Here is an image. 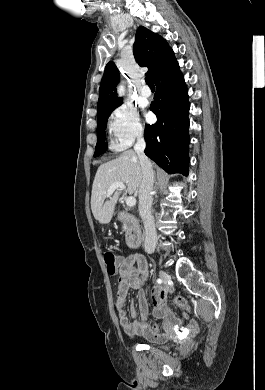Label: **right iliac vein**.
Here are the masks:
<instances>
[{
  "instance_id": "1",
  "label": "right iliac vein",
  "mask_w": 265,
  "mask_h": 390,
  "mask_svg": "<svg viewBox=\"0 0 265 390\" xmlns=\"http://www.w3.org/2000/svg\"><path fill=\"white\" fill-rule=\"evenodd\" d=\"M159 276H160L161 280L164 282H167L170 279L169 274L166 273L165 271H160Z\"/></svg>"
}]
</instances>
